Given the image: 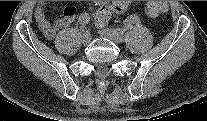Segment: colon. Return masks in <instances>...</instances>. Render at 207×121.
I'll return each instance as SVG.
<instances>
[{"label":"colon","mask_w":207,"mask_h":121,"mask_svg":"<svg viewBox=\"0 0 207 121\" xmlns=\"http://www.w3.org/2000/svg\"><path fill=\"white\" fill-rule=\"evenodd\" d=\"M116 7L111 4H103L94 12L95 23L99 26L106 24L115 14ZM168 6L165 2L149 1L144 7L145 13L150 17H156L165 12Z\"/></svg>","instance_id":"1"}]
</instances>
